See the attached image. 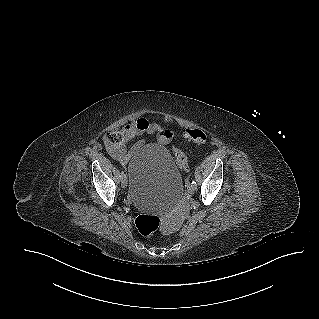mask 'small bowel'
<instances>
[{"instance_id": "obj_1", "label": "small bowel", "mask_w": 319, "mask_h": 319, "mask_svg": "<svg viewBox=\"0 0 319 319\" xmlns=\"http://www.w3.org/2000/svg\"><path fill=\"white\" fill-rule=\"evenodd\" d=\"M143 134L155 136L161 144H167L174 136L171 129H166L146 118H139L122 129L111 127L106 130L104 141L107 152L118 163L126 165L131 156L142 147L144 141L140 140L132 145L130 144Z\"/></svg>"}]
</instances>
